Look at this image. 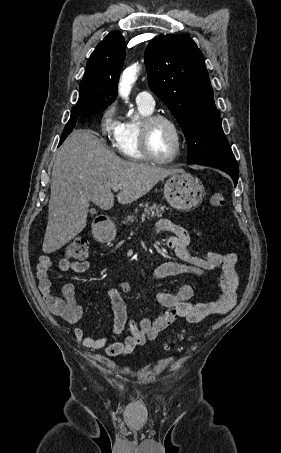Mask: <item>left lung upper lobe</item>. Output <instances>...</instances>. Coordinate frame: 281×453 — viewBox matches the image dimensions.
Listing matches in <instances>:
<instances>
[{"instance_id": "1", "label": "left lung upper lobe", "mask_w": 281, "mask_h": 453, "mask_svg": "<svg viewBox=\"0 0 281 453\" xmlns=\"http://www.w3.org/2000/svg\"><path fill=\"white\" fill-rule=\"evenodd\" d=\"M151 90L166 104L187 141L188 164L235 158L224 135L204 56L187 35H160L146 48Z\"/></svg>"}]
</instances>
